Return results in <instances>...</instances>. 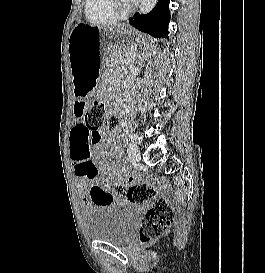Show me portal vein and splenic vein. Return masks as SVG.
Instances as JSON below:
<instances>
[{"instance_id":"portal-vein-and-splenic-vein-1","label":"portal vein and splenic vein","mask_w":265,"mask_h":273,"mask_svg":"<svg viewBox=\"0 0 265 273\" xmlns=\"http://www.w3.org/2000/svg\"><path fill=\"white\" fill-rule=\"evenodd\" d=\"M131 56H132V57H135V56H136V54H135V53H132V54H131Z\"/></svg>"}]
</instances>
